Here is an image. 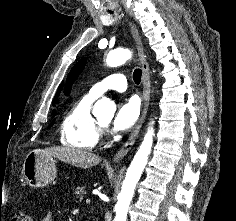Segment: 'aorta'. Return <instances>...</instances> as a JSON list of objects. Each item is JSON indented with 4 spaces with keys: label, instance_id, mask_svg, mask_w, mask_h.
<instances>
[{
    "label": "aorta",
    "instance_id": "obj_1",
    "mask_svg": "<svg viewBox=\"0 0 236 221\" xmlns=\"http://www.w3.org/2000/svg\"><path fill=\"white\" fill-rule=\"evenodd\" d=\"M132 56L128 49H117L109 52L106 59V64L109 67H117L124 64ZM116 111L115 104L108 98L103 97L98 100L93 108V115L97 118L108 117L112 118ZM154 122L151 123V125ZM154 129L150 126L144 136L138 151L136 152L128 170L125 180L122 185L121 192L118 196V202L115 206L116 216L114 221H126L128 208L132 200L136 184L138 183L141 174L147 164L148 156L153 145Z\"/></svg>",
    "mask_w": 236,
    "mask_h": 221
}]
</instances>
